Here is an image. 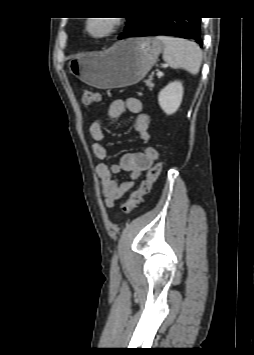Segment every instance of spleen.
I'll list each match as a JSON object with an SVG mask.
<instances>
[{"label":"spleen","mask_w":254,"mask_h":355,"mask_svg":"<svg viewBox=\"0 0 254 355\" xmlns=\"http://www.w3.org/2000/svg\"><path fill=\"white\" fill-rule=\"evenodd\" d=\"M165 45L163 60L173 69H185L192 75L199 72L202 62V51L192 41L168 36H157Z\"/></svg>","instance_id":"3e777b00"}]
</instances>
